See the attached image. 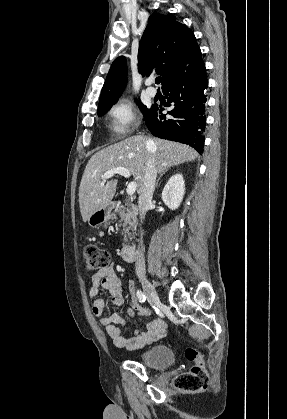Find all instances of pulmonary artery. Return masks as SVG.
<instances>
[{
	"label": "pulmonary artery",
	"instance_id": "pulmonary-artery-1",
	"mask_svg": "<svg viewBox=\"0 0 287 419\" xmlns=\"http://www.w3.org/2000/svg\"><path fill=\"white\" fill-rule=\"evenodd\" d=\"M146 93L150 96V97H155L157 94V91L154 87H152V79H148L146 80Z\"/></svg>",
	"mask_w": 287,
	"mask_h": 419
}]
</instances>
